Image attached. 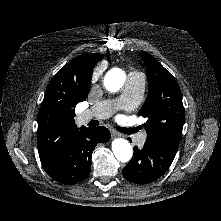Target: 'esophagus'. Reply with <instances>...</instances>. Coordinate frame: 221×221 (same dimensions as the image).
<instances>
[{
	"mask_svg": "<svg viewBox=\"0 0 221 221\" xmlns=\"http://www.w3.org/2000/svg\"><path fill=\"white\" fill-rule=\"evenodd\" d=\"M112 136H113V137H121L122 134L119 133V132H117V131H113V132H112Z\"/></svg>",
	"mask_w": 221,
	"mask_h": 221,
	"instance_id": "esophagus-1",
	"label": "esophagus"
}]
</instances>
